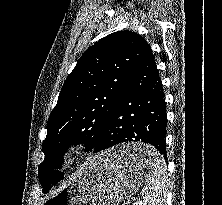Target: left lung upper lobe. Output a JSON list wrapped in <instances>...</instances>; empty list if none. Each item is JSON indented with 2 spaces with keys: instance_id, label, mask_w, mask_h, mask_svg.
Wrapping results in <instances>:
<instances>
[{
  "instance_id": "obj_1",
  "label": "left lung upper lobe",
  "mask_w": 222,
  "mask_h": 205,
  "mask_svg": "<svg viewBox=\"0 0 222 205\" xmlns=\"http://www.w3.org/2000/svg\"><path fill=\"white\" fill-rule=\"evenodd\" d=\"M148 43L132 31L112 33L87 49L69 74L47 123L38 169L43 192L63 174L53 171L71 145L90 151L105 128L114 105Z\"/></svg>"
}]
</instances>
